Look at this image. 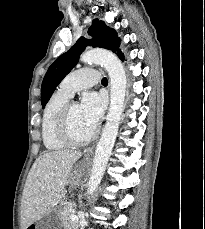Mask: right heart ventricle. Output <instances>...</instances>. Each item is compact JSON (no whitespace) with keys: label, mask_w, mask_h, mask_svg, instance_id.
Masks as SVG:
<instances>
[{"label":"right heart ventricle","mask_w":205,"mask_h":229,"mask_svg":"<svg viewBox=\"0 0 205 229\" xmlns=\"http://www.w3.org/2000/svg\"><path fill=\"white\" fill-rule=\"evenodd\" d=\"M68 96L60 92H55L47 101L42 118V140L44 146L49 151H59L68 147L57 135V120L63 105L69 101Z\"/></svg>","instance_id":"obj_1"}]
</instances>
